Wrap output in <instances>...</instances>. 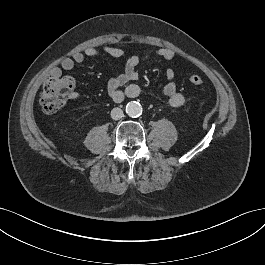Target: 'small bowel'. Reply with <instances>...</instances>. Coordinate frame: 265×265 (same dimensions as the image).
Here are the masks:
<instances>
[{
	"mask_svg": "<svg viewBox=\"0 0 265 265\" xmlns=\"http://www.w3.org/2000/svg\"><path fill=\"white\" fill-rule=\"evenodd\" d=\"M103 54L114 58H121L125 56L122 49L102 45L100 47H86L83 51H76L71 57L64 58L59 67L51 69L50 74L54 76L62 75L63 71L72 70L76 64L82 63L86 57H98ZM175 53L169 48H160L150 54L144 56H130L126 59L123 71L117 76L111 78L107 85L108 95L114 102H121L126 96L136 97L140 93L138 85L131 82L136 81L139 77L138 66L153 57H158L164 60H171ZM166 84L163 87L162 93L167 98L172 107H180L183 105L185 98L182 93L177 89L176 72L174 69L169 68L166 71ZM129 84L124 91L120 88Z\"/></svg>",
	"mask_w": 265,
	"mask_h": 265,
	"instance_id": "small-bowel-1",
	"label": "small bowel"
}]
</instances>
